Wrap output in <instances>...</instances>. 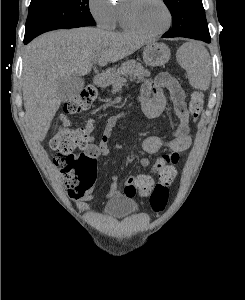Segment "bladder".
<instances>
[{
	"label": "bladder",
	"instance_id": "31cf9c89",
	"mask_svg": "<svg viewBox=\"0 0 245 300\" xmlns=\"http://www.w3.org/2000/svg\"><path fill=\"white\" fill-rule=\"evenodd\" d=\"M139 207L135 201L126 196L111 199L104 207L103 214L109 217L122 218L136 213Z\"/></svg>",
	"mask_w": 245,
	"mask_h": 300
}]
</instances>
